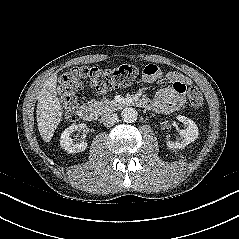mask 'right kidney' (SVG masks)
Returning a JSON list of instances; mask_svg holds the SVG:
<instances>
[{
    "mask_svg": "<svg viewBox=\"0 0 239 239\" xmlns=\"http://www.w3.org/2000/svg\"><path fill=\"white\" fill-rule=\"evenodd\" d=\"M82 128H86V125L85 124H79V125L72 124L62 132L61 137H60V145L68 153L82 152L87 148L86 142L75 144V143H73V139L71 138V134L74 131H76L78 129H82Z\"/></svg>",
    "mask_w": 239,
    "mask_h": 239,
    "instance_id": "1",
    "label": "right kidney"
}]
</instances>
